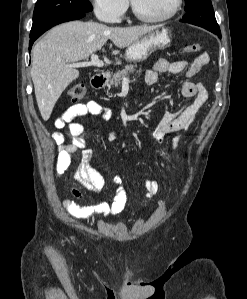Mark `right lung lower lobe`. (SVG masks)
<instances>
[{"label": "right lung lower lobe", "mask_w": 247, "mask_h": 299, "mask_svg": "<svg viewBox=\"0 0 247 299\" xmlns=\"http://www.w3.org/2000/svg\"><path fill=\"white\" fill-rule=\"evenodd\" d=\"M85 16L84 12H77V13H72L69 15H66L62 18H59L53 22H51L50 24H48L47 26H45L44 28H42L40 31H38L37 33L30 35V42H29V50L32 47L33 42L40 36L42 35L45 31H47L48 29H50L51 27L62 23V22H66V21H70V20H75V19H79Z\"/></svg>", "instance_id": "98d812e1"}]
</instances>
